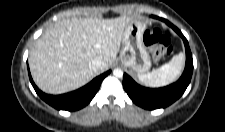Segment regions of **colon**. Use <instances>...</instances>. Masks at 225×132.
<instances>
[{
	"label": "colon",
	"instance_id": "colon-1",
	"mask_svg": "<svg viewBox=\"0 0 225 132\" xmlns=\"http://www.w3.org/2000/svg\"><path fill=\"white\" fill-rule=\"evenodd\" d=\"M143 40L156 58L170 55L173 51L170 34L162 32L158 28L147 29L144 33Z\"/></svg>",
	"mask_w": 225,
	"mask_h": 132
}]
</instances>
